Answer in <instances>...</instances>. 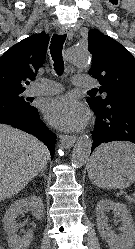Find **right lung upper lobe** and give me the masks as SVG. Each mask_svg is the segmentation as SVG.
I'll return each mask as SVG.
<instances>
[{
    "instance_id": "cb5924a9",
    "label": "right lung upper lobe",
    "mask_w": 135,
    "mask_h": 249,
    "mask_svg": "<svg viewBox=\"0 0 135 249\" xmlns=\"http://www.w3.org/2000/svg\"><path fill=\"white\" fill-rule=\"evenodd\" d=\"M49 35L33 34L13 45L0 57V92L24 91L34 80L46 56Z\"/></svg>"
}]
</instances>
